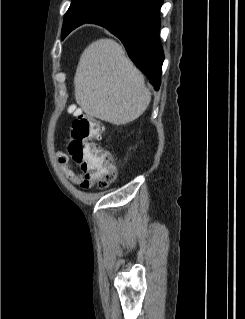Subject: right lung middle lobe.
Returning <instances> with one entry per match:
<instances>
[{
  "label": "right lung middle lobe",
  "mask_w": 245,
  "mask_h": 319,
  "mask_svg": "<svg viewBox=\"0 0 245 319\" xmlns=\"http://www.w3.org/2000/svg\"><path fill=\"white\" fill-rule=\"evenodd\" d=\"M128 0H83L81 8L88 12L94 19L115 10L121 5L125 4ZM73 20L63 25L62 30L71 24Z\"/></svg>",
  "instance_id": "obj_1"
}]
</instances>
